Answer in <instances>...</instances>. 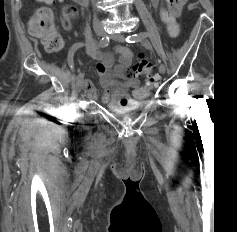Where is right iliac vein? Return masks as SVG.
Listing matches in <instances>:
<instances>
[{
  "mask_svg": "<svg viewBox=\"0 0 237 232\" xmlns=\"http://www.w3.org/2000/svg\"><path fill=\"white\" fill-rule=\"evenodd\" d=\"M95 33L98 36H103L105 34L104 28L102 26H97L95 28ZM83 84H84V75L82 73H80L76 77V86H77V90L79 92L83 89Z\"/></svg>",
  "mask_w": 237,
  "mask_h": 232,
  "instance_id": "right-iliac-vein-1",
  "label": "right iliac vein"
}]
</instances>
